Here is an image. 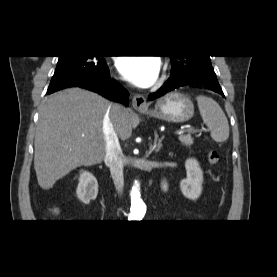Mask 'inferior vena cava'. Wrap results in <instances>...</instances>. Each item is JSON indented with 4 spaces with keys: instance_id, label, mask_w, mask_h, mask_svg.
<instances>
[{
    "instance_id": "inferior-vena-cava-1",
    "label": "inferior vena cava",
    "mask_w": 277,
    "mask_h": 277,
    "mask_svg": "<svg viewBox=\"0 0 277 277\" xmlns=\"http://www.w3.org/2000/svg\"><path fill=\"white\" fill-rule=\"evenodd\" d=\"M121 105H115L108 108L103 119V135L105 142V164L110 168V173L118 195L123 194L124 178H123V153L119 144L117 134L112 121V111L120 113Z\"/></svg>"
}]
</instances>
